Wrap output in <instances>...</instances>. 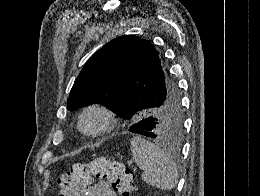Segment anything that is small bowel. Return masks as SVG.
Masks as SVG:
<instances>
[{"mask_svg":"<svg viewBox=\"0 0 260 196\" xmlns=\"http://www.w3.org/2000/svg\"><path fill=\"white\" fill-rule=\"evenodd\" d=\"M84 192V196H116L111 184L106 180H98L88 185Z\"/></svg>","mask_w":260,"mask_h":196,"instance_id":"small-bowel-1","label":"small bowel"}]
</instances>
